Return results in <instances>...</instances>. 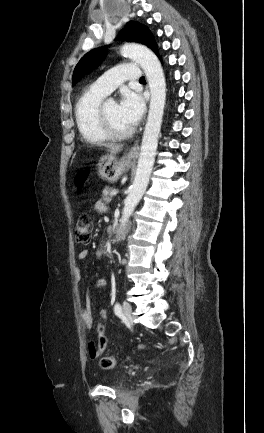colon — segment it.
<instances>
[{
    "label": "colon",
    "mask_w": 264,
    "mask_h": 433,
    "mask_svg": "<svg viewBox=\"0 0 264 433\" xmlns=\"http://www.w3.org/2000/svg\"><path fill=\"white\" fill-rule=\"evenodd\" d=\"M85 182V174H79L76 178V183L79 188ZM92 220L88 214H82L78 220L77 227L75 230V240L77 243L86 245L91 241L92 238ZM97 337H98V346L100 349V360L99 364L103 369H112L116 366L117 360L113 356L102 355L107 344V338L105 335V327L102 322H99L97 325ZM147 344H141L140 348H147Z\"/></svg>",
    "instance_id": "colon-1"
}]
</instances>
